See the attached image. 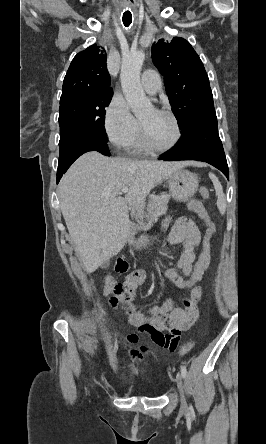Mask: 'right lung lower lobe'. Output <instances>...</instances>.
<instances>
[{
	"label": "right lung lower lobe",
	"instance_id": "obj_1",
	"mask_svg": "<svg viewBox=\"0 0 266 444\" xmlns=\"http://www.w3.org/2000/svg\"><path fill=\"white\" fill-rule=\"evenodd\" d=\"M89 151H98L103 155L110 156L108 150L107 141L99 137L86 138L71 149H69L64 155L59 156V163L57 169V183L61 179L62 175L67 171L71 164L82 154Z\"/></svg>",
	"mask_w": 266,
	"mask_h": 444
}]
</instances>
